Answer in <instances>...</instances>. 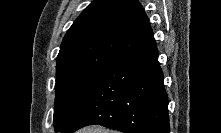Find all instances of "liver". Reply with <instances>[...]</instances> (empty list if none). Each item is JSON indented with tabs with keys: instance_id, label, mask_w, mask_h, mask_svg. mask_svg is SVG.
<instances>
[{
	"instance_id": "liver-1",
	"label": "liver",
	"mask_w": 221,
	"mask_h": 133,
	"mask_svg": "<svg viewBox=\"0 0 221 133\" xmlns=\"http://www.w3.org/2000/svg\"><path fill=\"white\" fill-rule=\"evenodd\" d=\"M77 133H113L111 130L102 127H87L79 130Z\"/></svg>"
}]
</instances>
